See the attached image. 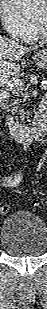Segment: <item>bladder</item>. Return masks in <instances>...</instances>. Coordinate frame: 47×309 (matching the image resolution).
<instances>
[{
  "label": "bladder",
  "instance_id": "obj_1",
  "mask_svg": "<svg viewBox=\"0 0 47 309\" xmlns=\"http://www.w3.org/2000/svg\"><path fill=\"white\" fill-rule=\"evenodd\" d=\"M1 246L11 256L43 255L47 249L46 225L33 213L14 212L2 224Z\"/></svg>",
  "mask_w": 47,
  "mask_h": 309
}]
</instances>
